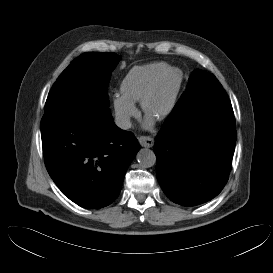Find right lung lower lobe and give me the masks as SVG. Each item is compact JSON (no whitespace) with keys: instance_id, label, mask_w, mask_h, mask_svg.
Listing matches in <instances>:
<instances>
[{"instance_id":"obj_1","label":"right lung lower lobe","mask_w":273,"mask_h":273,"mask_svg":"<svg viewBox=\"0 0 273 273\" xmlns=\"http://www.w3.org/2000/svg\"><path fill=\"white\" fill-rule=\"evenodd\" d=\"M41 137L45 165L58 188L89 209L111 204L139 150L131 132L118 128L108 105L82 99L44 113Z\"/></svg>"}]
</instances>
